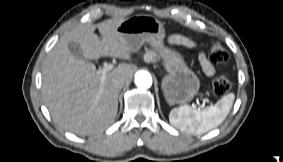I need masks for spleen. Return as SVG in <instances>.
<instances>
[{
  "instance_id": "1",
  "label": "spleen",
  "mask_w": 283,
  "mask_h": 162,
  "mask_svg": "<svg viewBox=\"0 0 283 162\" xmlns=\"http://www.w3.org/2000/svg\"><path fill=\"white\" fill-rule=\"evenodd\" d=\"M235 99L233 93L223 96L215 105L204 109L183 105L169 113L170 123L189 134L200 135L218 127L228 116Z\"/></svg>"
}]
</instances>
